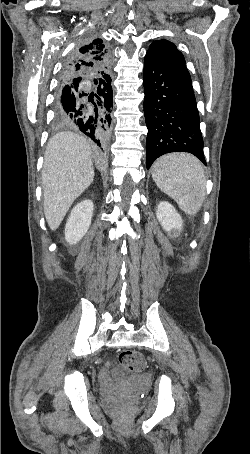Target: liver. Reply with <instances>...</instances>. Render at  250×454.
<instances>
[{"label":"liver","mask_w":250,"mask_h":454,"mask_svg":"<svg viewBox=\"0 0 250 454\" xmlns=\"http://www.w3.org/2000/svg\"><path fill=\"white\" fill-rule=\"evenodd\" d=\"M92 152L85 138L72 132L52 137L44 155L42 187L44 214L56 230L72 203L93 182Z\"/></svg>","instance_id":"1"}]
</instances>
